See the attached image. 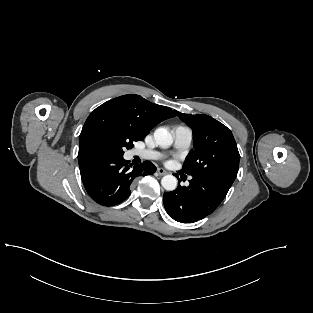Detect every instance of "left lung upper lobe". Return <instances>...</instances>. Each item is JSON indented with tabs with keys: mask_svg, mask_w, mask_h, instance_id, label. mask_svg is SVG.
<instances>
[{
	"mask_svg": "<svg viewBox=\"0 0 313 313\" xmlns=\"http://www.w3.org/2000/svg\"><path fill=\"white\" fill-rule=\"evenodd\" d=\"M193 130V146L181 173L192 177L213 178L230 185L239 169L240 155L230 129L207 115H190L176 111Z\"/></svg>",
	"mask_w": 313,
	"mask_h": 313,
	"instance_id": "5c2ea615",
	"label": "left lung upper lobe"
}]
</instances>
